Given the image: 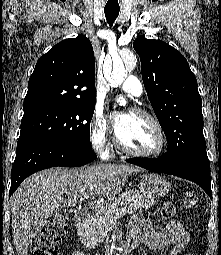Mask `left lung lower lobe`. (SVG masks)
Segmentation results:
<instances>
[{
    "mask_svg": "<svg viewBox=\"0 0 221 255\" xmlns=\"http://www.w3.org/2000/svg\"><path fill=\"white\" fill-rule=\"evenodd\" d=\"M126 162L190 180L203 188L212 198L210 163L206 151L192 152L175 161L162 156L154 159L130 158L126 159Z\"/></svg>",
    "mask_w": 221,
    "mask_h": 255,
    "instance_id": "obj_1",
    "label": "left lung lower lobe"
}]
</instances>
